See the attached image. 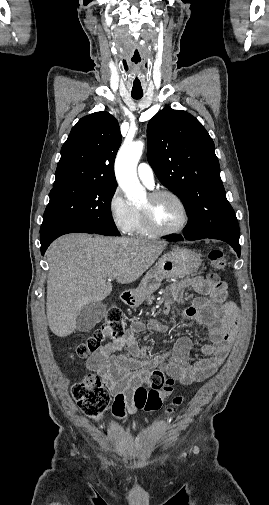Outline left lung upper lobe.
<instances>
[{
    "label": "left lung upper lobe",
    "instance_id": "5c2ea615",
    "mask_svg": "<svg viewBox=\"0 0 269 505\" xmlns=\"http://www.w3.org/2000/svg\"><path fill=\"white\" fill-rule=\"evenodd\" d=\"M147 140L149 164L187 209L184 236H240L220 178L214 142L201 123L186 111L166 107L149 121Z\"/></svg>",
    "mask_w": 269,
    "mask_h": 505
}]
</instances>
